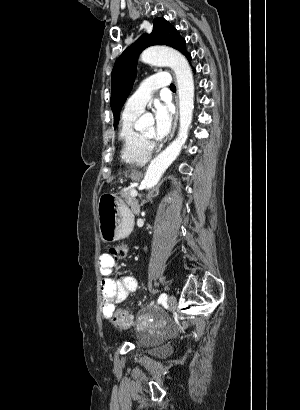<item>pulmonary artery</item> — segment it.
I'll use <instances>...</instances> for the list:
<instances>
[{"mask_svg": "<svg viewBox=\"0 0 300 410\" xmlns=\"http://www.w3.org/2000/svg\"><path fill=\"white\" fill-rule=\"evenodd\" d=\"M169 85L170 77L166 72L157 73L146 78L142 82L140 89L127 100L125 111L140 113L155 90Z\"/></svg>", "mask_w": 300, "mask_h": 410, "instance_id": "obj_1", "label": "pulmonary artery"}]
</instances>
